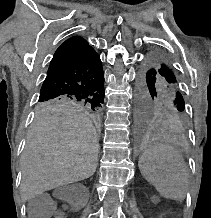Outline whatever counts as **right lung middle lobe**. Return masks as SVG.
<instances>
[{
	"mask_svg": "<svg viewBox=\"0 0 211 218\" xmlns=\"http://www.w3.org/2000/svg\"><path fill=\"white\" fill-rule=\"evenodd\" d=\"M64 105H80L86 107L89 111L96 114L101 108V103L92 99H81L73 97H49V98H39L38 107L39 109H50L58 106Z\"/></svg>",
	"mask_w": 211,
	"mask_h": 218,
	"instance_id": "1",
	"label": "right lung middle lobe"
}]
</instances>
